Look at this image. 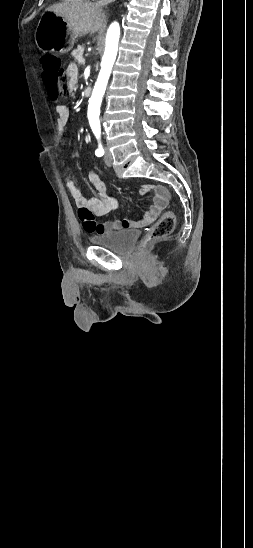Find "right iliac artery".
Listing matches in <instances>:
<instances>
[{"label":"right iliac artery","mask_w":253,"mask_h":548,"mask_svg":"<svg viewBox=\"0 0 253 548\" xmlns=\"http://www.w3.org/2000/svg\"><path fill=\"white\" fill-rule=\"evenodd\" d=\"M96 156L101 157L104 155V149L101 144H99L98 148L95 151Z\"/></svg>","instance_id":"82829eb1"}]
</instances>
